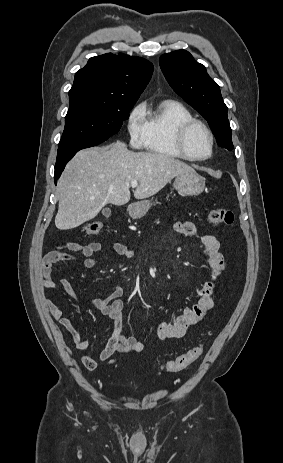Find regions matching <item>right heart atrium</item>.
I'll return each instance as SVG.
<instances>
[{"label":"right heart atrium","mask_w":283,"mask_h":463,"mask_svg":"<svg viewBox=\"0 0 283 463\" xmlns=\"http://www.w3.org/2000/svg\"><path fill=\"white\" fill-rule=\"evenodd\" d=\"M144 105L135 106L127 119V132L133 147H140L145 138V111Z\"/></svg>","instance_id":"obj_1"}]
</instances>
